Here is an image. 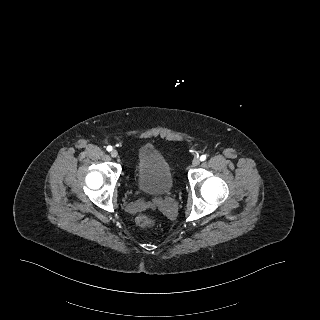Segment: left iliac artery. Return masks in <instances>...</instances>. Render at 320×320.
Wrapping results in <instances>:
<instances>
[{
    "label": "left iliac artery",
    "instance_id": "left-iliac-artery-1",
    "mask_svg": "<svg viewBox=\"0 0 320 320\" xmlns=\"http://www.w3.org/2000/svg\"><path fill=\"white\" fill-rule=\"evenodd\" d=\"M200 160H201V161L206 160V155H202V156L200 157Z\"/></svg>",
    "mask_w": 320,
    "mask_h": 320
}]
</instances>
